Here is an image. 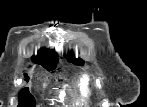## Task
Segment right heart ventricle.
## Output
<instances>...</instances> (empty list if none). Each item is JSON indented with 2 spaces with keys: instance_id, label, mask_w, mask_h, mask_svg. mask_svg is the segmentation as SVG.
Listing matches in <instances>:
<instances>
[{
  "instance_id": "right-heart-ventricle-1",
  "label": "right heart ventricle",
  "mask_w": 147,
  "mask_h": 107,
  "mask_svg": "<svg viewBox=\"0 0 147 107\" xmlns=\"http://www.w3.org/2000/svg\"><path fill=\"white\" fill-rule=\"evenodd\" d=\"M74 102L79 105L87 104L92 98V84L87 75H82L74 86Z\"/></svg>"
}]
</instances>
